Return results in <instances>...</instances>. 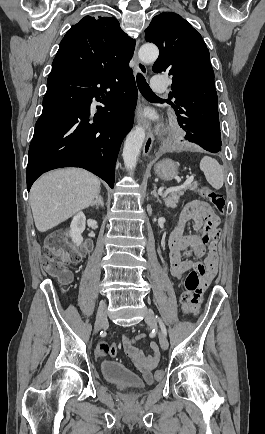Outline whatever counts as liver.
I'll list each match as a JSON object with an SVG mask.
<instances>
[{
    "mask_svg": "<svg viewBox=\"0 0 265 434\" xmlns=\"http://www.w3.org/2000/svg\"><path fill=\"white\" fill-rule=\"evenodd\" d=\"M100 180L80 168L54 170L41 176L30 192V206L39 232H47L76 212L89 208L100 194Z\"/></svg>",
    "mask_w": 265,
    "mask_h": 434,
    "instance_id": "liver-1",
    "label": "liver"
}]
</instances>
